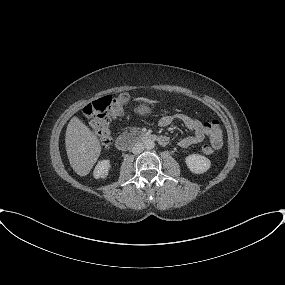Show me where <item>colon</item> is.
<instances>
[{
  "label": "colon",
  "instance_id": "colon-1",
  "mask_svg": "<svg viewBox=\"0 0 285 285\" xmlns=\"http://www.w3.org/2000/svg\"><path fill=\"white\" fill-rule=\"evenodd\" d=\"M128 100L127 93L106 95L90 102L83 109L82 119L90 124L104 149H108L113 141L111 120L124 114ZM206 132L210 143L203 145L202 152L211 155L222 146V126L219 122L212 121L206 125Z\"/></svg>",
  "mask_w": 285,
  "mask_h": 285
}]
</instances>
